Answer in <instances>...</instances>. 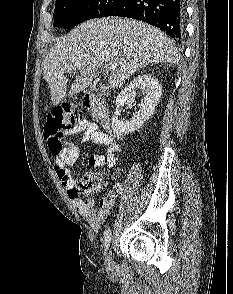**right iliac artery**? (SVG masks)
<instances>
[{
    "instance_id": "82829eb1",
    "label": "right iliac artery",
    "mask_w": 233,
    "mask_h": 294,
    "mask_svg": "<svg viewBox=\"0 0 233 294\" xmlns=\"http://www.w3.org/2000/svg\"><path fill=\"white\" fill-rule=\"evenodd\" d=\"M111 241V230L110 228H107L104 234V246H105V250H107L109 244Z\"/></svg>"
}]
</instances>
